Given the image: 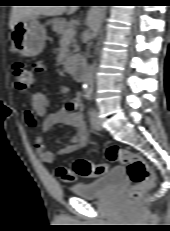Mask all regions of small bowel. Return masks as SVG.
Listing matches in <instances>:
<instances>
[{
    "label": "small bowel",
    "instance_id": "1",
    "mask_svg": "<svg viewBox=\"0 0 170 231\" xmlns=\"http://www.w3.org/2000/svg\"><path fill=\"white\" fill-rule=\"evenodd\" d=\"M31 69L33 73H42L47 69V63L44 60H36L32 63ZM25 95L29 98L31 104V109L24 112V120L28 126L36 127L37 118H41L44 132L59 123L73 128L72 138L60 149L59 155L74 153L88 144L89 133L83 120L82 102L79 96L65 104H58L40 92L25 93ZM49 109H53L54 112L49 113ZM35 148L42 162L54 164L56 154L49 150L41 135L35 138Z\"/></svg>",
    "mask_w": 170,
    "mask_h": 231
}]
</instances>
